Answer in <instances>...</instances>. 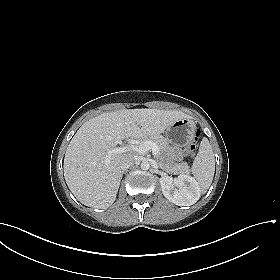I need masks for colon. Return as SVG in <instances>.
I'll return each instance as SVG.
<instances>
[{
  "label": "colon",
  "instance_id": "5ec220e1",
  "mask_svg": "<svg viewBox=\"0 0 280 280\" xmlns=\"http://www.w3.org/2000/svg\"><path fill=\"white\" fill-rule=\"evenodd\" d=\"M198 133H196V136ZM195 153V141L191 142L186 148V154L192 156Z\"/></svg>",
  "mask_w": 280,
  "mask_h": 280
}]
</instances>
